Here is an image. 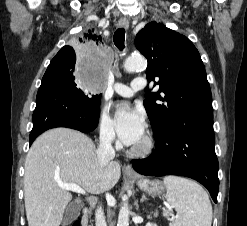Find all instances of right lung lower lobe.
Segmentation results:
<instances>
[{
	"label": "right lung lower lobe",
	"instance_id": "1",
	"mask_svg": "<svg viewBox=\"0 0 247 226\" xmlns=\"http://www.w3.org/2000/svg\"><path fill=\"white\" fill-rule=\"evenodd\" d=\"M100 109L91 105L58 72H45L36 97L30 145L42 132L67 127L84 133L93 131L99 121Z\"/></svg>",
	"mask_w": 247,
	"mask_h": 226
}]
</instances>
